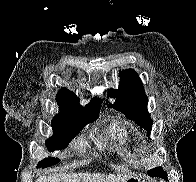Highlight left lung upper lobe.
Segmentation results:
<instances>
[{
  "mask_svg": "<svg viewBox=\"0 0 196 182\" xmlns=\"http://www.w3.org/2000/svg\"><path fill=\"white\" fill-rule=\"evenodd\" d=\"M108 93V96L116 98L113 105L109 104L110 107L123 112L126 117L135 121L141 128L146 129L148 133L151 131L152 121L147 112L148 98L143 84L134 70H124L120 74L119 88L116 90L109 89ZM149 174L167 180V173L161 167L150 170Z\"/></svg>",
  "mask_w": 196,
  "mask_h": 182,
  "instance_id": "1",
  "label": "left lung upper lobe"
}]
</instances>
